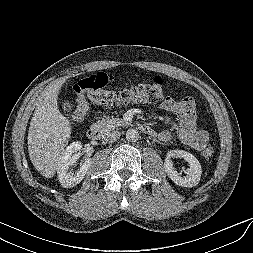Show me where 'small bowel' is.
I'll list each match as a JSON object with an SVG mask.
<instances>
[{
  "label": "small bowel",
  "instance_id": "1",
  "mask_svg": "<svg viewBox=\"0 0 253 253\" xmlns=\"http://www.w3.org/2000/svg\"><path fill=\"white\" fill-rule=\"evenodd\" d=\"M160 108L179 116L178 135L185 145L194 150H202L205 147L207 134L197 127L195 103L191 97L185 96L179 100L167 97L160 104ZM156 136L162 142L172 139L168 130H162Z\"/></svg>",
  "mask_w": 253,
  "mask_h": 253
}]
</instances>
